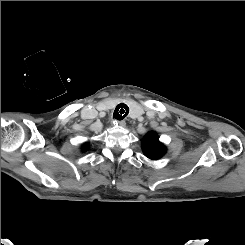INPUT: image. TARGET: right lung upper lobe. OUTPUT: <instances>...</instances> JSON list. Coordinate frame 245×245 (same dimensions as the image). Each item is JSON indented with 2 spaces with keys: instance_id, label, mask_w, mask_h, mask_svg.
Returning <instances> with one entry per match:
<instances>
[{
  "instance_id": "right-lung-upper-lobe-1",
  "label": "right lung upper lobe",
  "mask_w": 245,
  "mask_h": 245,
  "mask_svg": "<svg viewBox=\"0 0 245 245\" xmlns=\"http://www.w3.org/2000/svg\"><path fill=\"white\" fill-rule=\"evenodd\" d=\"M83 150H87V146H84V147H83Z\"/></svg>"
}]
</instances>
